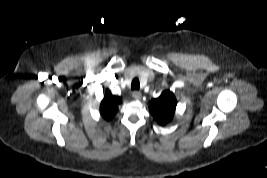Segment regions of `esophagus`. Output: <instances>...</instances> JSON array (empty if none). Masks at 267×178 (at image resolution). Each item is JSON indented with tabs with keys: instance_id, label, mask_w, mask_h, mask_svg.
I'll use <instances>...</instances> for the list:
<instances>
[{
	"instance_id": "esophagus-1",
	"label": "esophagus",
	"mask_w": 267,
	"mask_h": 178,
	"mask_svg": "<svg viewBox=\"0 0 267 178\" xmlns=\"http://www.w3.org/2000/svg\"><path fill=\"white\" fill-rule=\"evenodd\" d=\"M132 96H133L134 99L139 100L141 98V92L135 90V91L132 92Z\"/></svg>"
}]
</instances>
